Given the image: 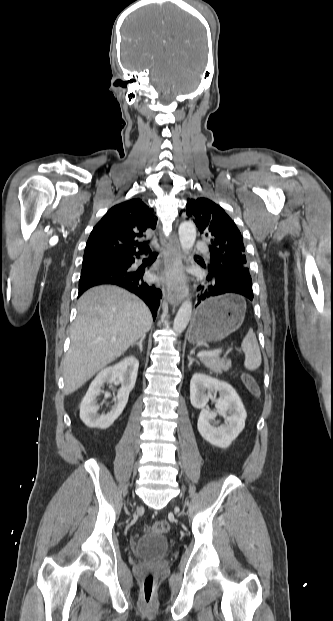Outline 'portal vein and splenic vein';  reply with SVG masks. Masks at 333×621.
Segmentation results:
<instances>
[{"mask_svg":"<svg viewBox=\"0 0 333 621\" xmlns=\"http://www.w3.org/2000/svg\"><path fill=\"white\" fill-rule=\"evenodd\" d=\"M222 352V349H217V350H210V351H201L197 354V357L199 358H203V357H214L219 355Z\"/></svg>","mask_w":333,"mask_h":621,"instance_id":"portal-vein-and-splenic-vein-1","label":"portal vein and splenic vein"}]
</instances>
